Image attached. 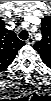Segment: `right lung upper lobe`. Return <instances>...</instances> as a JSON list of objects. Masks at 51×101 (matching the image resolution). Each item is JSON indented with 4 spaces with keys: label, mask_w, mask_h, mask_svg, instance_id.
Here are the masks:
<instances>
[{
    "label": "right lung upper lobe",
    "mask_w": 51,
    "mask_h": 101,
    "mask_svg": "<svg viewBox=\"0 0 51 101\" xmlns=\"http://www.w3.org/2000/svg\"><path fill=\"white\" fill-rule=\"evenodd\" d=\"M23 45L24 41L19 40L13 31L6 29L4 22L0 20V71L12 63Z\"/></svg>",
    "instance_id": "1"
}]
</instances>
